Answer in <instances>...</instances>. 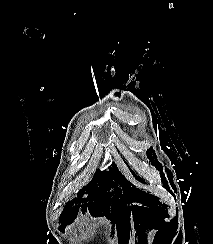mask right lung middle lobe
Here are the masks:
<instances>
[{
  "label": "right lung middle lobe",
  "instance_id": "right-lung-middle-lobe-1",
  "mask_svg": "<svg viewBox=\"0 0 213 244\" xmlns=\"http://www.w3.org/2000/svg\"><path fill=\"white\" fill-rule=\"evenodd\" d=\"M120 176V172L117 168V166L113 163L112 167L110 166L109 167V171L107 172H100L99 170H97L93 180L91 183L93 182H98L100 179H115L116 177H119Z\"/></svg>",
  "mask_w": 213,
  "mask_h": 244
}]
</instances>
